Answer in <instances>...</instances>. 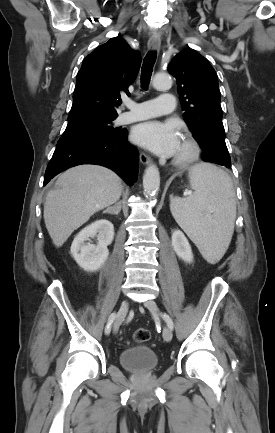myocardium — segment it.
<instances>
[{
  "label": "myocardium",
  "mask_w": 275,
  "mask_h": 433,
  "mask_svg": "<svg viewBox=\"0 0 275 433\" xmlns=\"http://www.w3.org/2000/svg\"><path fill=\"white\" fill-rule=\"evenodd\" d=\"M182 139L186 145V150L181 155L175 156L172 160V164L180 168H186L198 159L200 146L193 135L188 132L183 134Z\"/></svg>",
  "instance_id": "myocardium-1"
}]
</instances>
